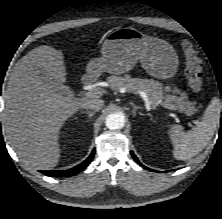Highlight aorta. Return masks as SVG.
I'll use <instances>...</instances> for the list:
<instances>
[{
    "instance_id": "aorta-1",
    "label": "aorta",
    "mask_w": 222,
    "mask_h": 219,
    "mask_svg": "<svg viewBox=\"0 0 222 219\" xmlns=\"http://www.w3.org/2000/svg\"><path fill=\"white\" fill-rule=\"evenodd\" d=\"M105 124L111 130L121 129L125 125V119L121 113H112L107 116Z\"/></svg>"
}]
</instances>
